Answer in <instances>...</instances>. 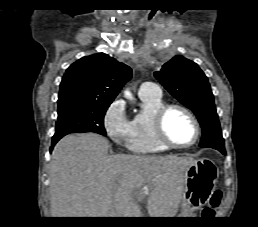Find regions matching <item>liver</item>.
Listing matches in <instances>:
<instances>
[{
    "mask_svg": "<svg viewBox=\"0 0 258 227\" xmlns=\"http://www.w3.org/2000/svg\"><path fill=\"white\" fill-rule=\"evenodd\" d=\"M97 134L68 135L54 147L50 162L52 217H174L192 157L109 155Z\"/></svg>",
    "mask_w": 258,
    "mask_h": 227,
    "instance_id": "obj_1",
    "label": "liver"
}]
</instances>
